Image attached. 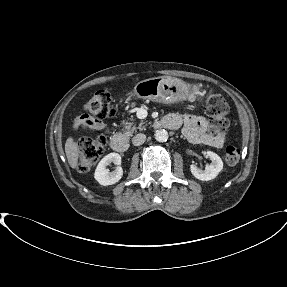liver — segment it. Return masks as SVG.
<instances>
[{
  "label": "liver",
  "mask_w": 287,
  "mask_h": 287,
  "mask_svg": "<svg viewBox=\"0 0 287 287\" xmlns=\"http://www.w3.org/2000/svg\"><path fill=\"white\" fill-rule=\"evenodd\" d=\"M65 153L71 168L75 169L78 164L79 147L72 137H69L65 143Z\"/></svg>",
  "instance_id": "6515ba94"
}]
</instances>
